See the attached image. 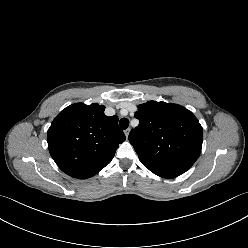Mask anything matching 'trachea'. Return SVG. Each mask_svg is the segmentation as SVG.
Masks as SVG:
<instances>
[{"label": "trachea", "instance_id": "1", "mask_svg": "<svg viewBox=\"0 0 248 248\" xmlns=\"http://www.w3.org/2000/svg\"><path fill=\"white\" fill-rule=\"evenodd\" d=\"M119 125L121 127V129L125 130L128 128L129 126V120L127 118H122L120 121H119Z\"/></svg>", "mask_w": 248, "mask_h": 248}]
</instances>
